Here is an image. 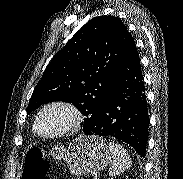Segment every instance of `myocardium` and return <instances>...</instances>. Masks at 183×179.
<instances>
[{
	"instance_id": "f54148a6",
	"label": "myocardium",
	"mask_w": 183,
	"mask_h": 179,
	"mask_svg": "<svg viewBox=\"0 0 183 179\" xmlns=\"http://www.w3.org/2000/svg\"><path fill=\"white\" fill-rule=\"evenodd\" d=\"M50 108L65 109L67 112H69V114L71 116V120H70V123L62 130H59V131L53 132V133H45L40 128V121H41V117H42L43 113ZM82 119H83L82 112L75 103L66 101V100H55V101L45 104L39 110L34 126H35V131L38 135L45 137V138H55V137H61V136H64V135H67V134H70V133L76 131L80 127V125L82 123Z\"/></svg>"
}]
</instances>
